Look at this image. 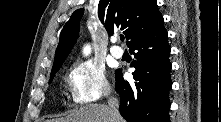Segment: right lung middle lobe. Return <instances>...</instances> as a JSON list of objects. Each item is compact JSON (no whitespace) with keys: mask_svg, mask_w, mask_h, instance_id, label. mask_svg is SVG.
Masks as SVG:
<instances>
[{"mask_svg":"<svg viewBox=\"0 0 221 122\" xmlns=\"http://www.w3.org/2000/svg\"><path fill=\"white\" fill-rule=\"evenodd\" d=\"M58 71V70H57ZM57 71H54V72H51V79H50V82H51V80L53 79V76L55 75V73L57 72Z\"/></svg>","mask_w":221,"mask_h":122,"instance_id":"right-lung-middle-lobe-1","label":"right lung middle lobe"}]
</instances>
